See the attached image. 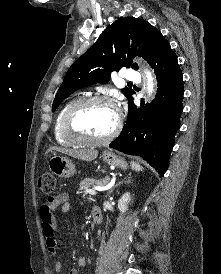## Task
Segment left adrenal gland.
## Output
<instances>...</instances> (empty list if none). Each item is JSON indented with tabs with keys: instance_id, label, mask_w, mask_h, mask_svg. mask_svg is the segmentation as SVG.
Returning a JSON list of instances; mask_svg holds the SVG:
<instances>
[{
	"instance_id": "obj_1",
	"label": "left adrenal gland",
	"mask_w": 221,
	"mask_h": 274,
	"mask_svg": "<svg viewBox=\"0 0 221 274\" xmlns=\"http://www.w3.org/2000/svg\"><path fill=\"white\" fill-rule=\"evenodd\" d=\"M130 182H131L130 178H126V179H124V180L119 181L118 183H116V184L108 191V195L111 194V193L113 192V190H114L116 187L120 186L121 184H123V183H130Z\"/></svg>"
}]
</instances>
